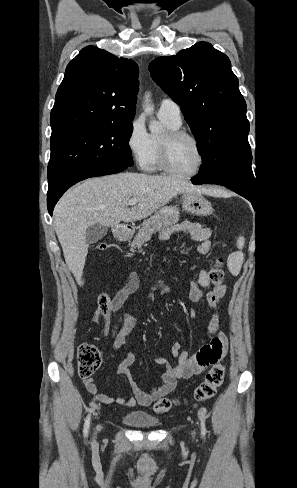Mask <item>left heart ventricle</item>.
Listing matches in <instances>:
<instances>
[{
  "instance_id": "left-heart-ventricle-1",
  "label": "left heart ventricle",
  "mask_w": 297,
  "mask_h": 488,
  "mask_svg": "<svg viewBox=\"0 0 297 488\" xmlns=\"http://www.w3.org/2000/svg\"><path fill=\"white\" fill-rule=\"evenodd\" d=\"M198 151L188 139L175 142L171 149V164L179 172L187 173L195 169L198 163Z\"/></svg>"
}]
</instances>
